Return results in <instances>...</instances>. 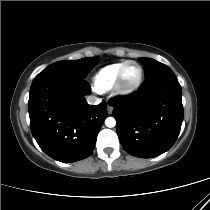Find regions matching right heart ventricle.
I'll return each instance as SVG.
<instances>
[{
  "label": "right heart ventricle",
  "instance_id": "e07e8e85",
  "mask_svg": "<svg viewBox=\"0 0 210 210\" xmlns=\"http://www.w3.org/2000/svg\"><path fill=\"white\" fill-rule=\"evenodd\" d=\"M123 62H116L101 68L93 78L94 89L98 92L110 90L116 81L117 73Z\"/></svg>",
  "mask_w": 210,
  "mask_h": 210
}]
</instances>
